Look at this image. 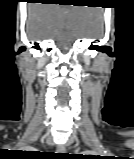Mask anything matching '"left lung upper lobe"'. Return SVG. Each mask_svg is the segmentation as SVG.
<instances>
[{"label": "left lung upper lobe", "mask_w": 134, "mask_h": 159, "mask_svg": "<svg viewBox=\"0 0 134 159\" xmlns=\"http://www.w3.org/2000/svg\"><path fill=\"white\" fill-rule=\"evenodd\" d=\"M76 159H98V157L94 155H79Z\"/></svg>", "instance_id": "5c2ea615"}]
</instances>
